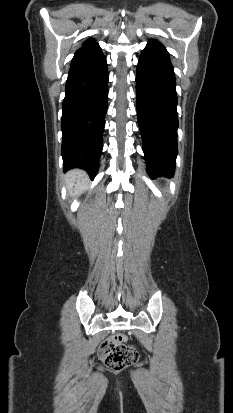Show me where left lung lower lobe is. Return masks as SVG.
<instances>
[{"label":"left lung lower lobe","instance_id":"left-lung-lower-lobe-1","mask_svg":"<svg viewBox=\"0 0 233 413\" xmlns=\"http://www.w3.org/2000/svg\"><path fill=\"white\" fill-rule=\"evenodd\" d=\"M136 101L147 172L172 176L178 153L176 81L169 53L156 40L148 42L139 58Z\"/></svg>","mask_w":233,"mask_h":413}]
</instances>
